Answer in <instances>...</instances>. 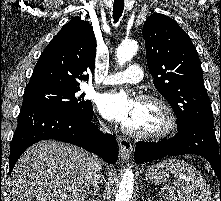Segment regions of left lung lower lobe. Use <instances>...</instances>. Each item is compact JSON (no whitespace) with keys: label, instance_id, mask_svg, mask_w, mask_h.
<instances>
[{"label":"left lung lower lobe","instance_id":"1","mask_svg":"<svg viewBox=\"0 0 221 201\" xmlns=\"http://www.w3.org/2000/svg\"><path fill=\"white\" fill-rule=\"evenodd\" d=\"M196 154L209 161L221 181V140L217 141L213 124L194 121L178 129L171 140L138 142L134 158L136 163L149 162L165 156Z\"/></svg>","mask_w":221,"mask_h":201}]
</instances>
